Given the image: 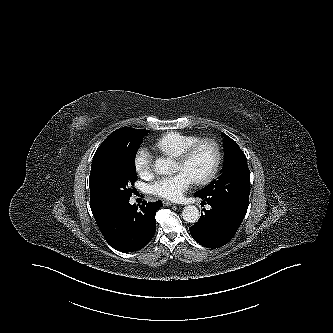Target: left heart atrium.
<instances>
[{
    "label": "left heart atrium",
    "mask_w": 333,
    "mask_h": 333,
    "mask_svg": "<svg viewBox=\"0 0 333 333\" xmlns=\"http://www.w3.org/2000/svg\"><path fill=\"white\" fill-rule=\"evenodd\" d=\"M194 179L185 171H180L175 175L162 176L150 185L152 194L176 201L183 197L184 193L192 186Z\"/></svg>",
    "instance_id": "left-heart-atrium-1"
}]
</instances>
